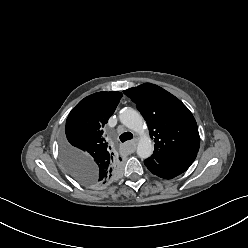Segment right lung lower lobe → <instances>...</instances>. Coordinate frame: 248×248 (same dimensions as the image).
<instances>
[{
  "label": "right lung lower lobe",
  "instance_id": "obj_1",
  "mask_svg": "<svg viewBox=\"0 0 248 248\" xmlns=\"http://www.w3.org/2000/svg\"><path fill=\"white\" fill-rule=\"evenodd\" d=\"M66 159H67V163L70 164V165H72L73 163H75L70 158H66ZM85 181H86V184L85 185L92 184V177L86 178Z\"/></svg>",
  "mask_w": 248,
  "mask_h": 248
}]
</instances>
